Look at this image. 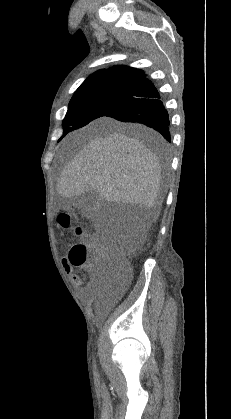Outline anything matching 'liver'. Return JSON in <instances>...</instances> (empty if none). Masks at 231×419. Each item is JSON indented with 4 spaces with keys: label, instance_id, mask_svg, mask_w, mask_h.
I'll list each match as a JSON object with an SVG mask.
<instances>
[{
    "label": "liver",
    "instance_id": "1",
    "mask_svg": "<svg viewBox=\"0 0 231 419\" xmlns=\"http://www.w3.org/2000/svg\"><path fill=\"white\" fill-rule=\"evenodd\" d=\"M100 122L108 125L111 134L96 136L83 147L63 169L57 191L71 198L95 190L105 201L144 207L147 222L136 235L139 245L159 215V159L139 140L121 132L126 126L109 119Z\"/></svg>",
    "mask_w": 231,
    "mask_h": 419
}]
</instances>
